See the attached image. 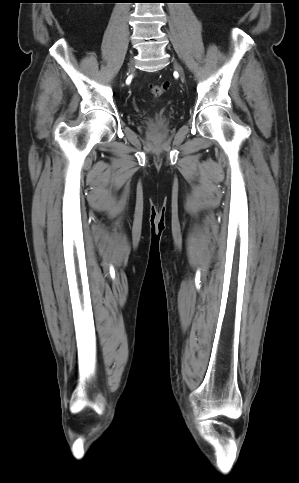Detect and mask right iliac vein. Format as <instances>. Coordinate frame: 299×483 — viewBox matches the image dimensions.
Wrapping results in <instances>:
<instances>
[{
    "mask_svg": "<svg viewBox=\"0 0 299 483\" xmlns=\"http://www.w3.org/2000/svg\"><path fill=\"white\" fill-rule=\"evenodd\" d=\"M133 69H134V65H133V61H131L129 65V70L132 71Z\"/></svg>",
    "mask_w": 299,
    "mask_h": 483,
    "instance_id": "right-iliac-vein-1",
    "label": "right iliac vein"
}]
</instances>
